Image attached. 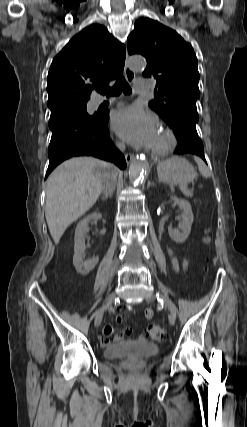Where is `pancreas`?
Here are the masks:
<instances>
[{"label": "pancreas", "instance_id": "cf45deb5", "mask_svg": "<svg viewBox=\"0 0 247 427\" xmlns=\"http://www.w3.org/2000/svg\"><path fill=\"white\" fill-rule=\"evenodd\" d=\"M183 188H184V192L187 196H192V192L190 190H187L186 186H184Z\"/></svg>", "mask_w": 247, "mask_h": 427}]
</instances>
